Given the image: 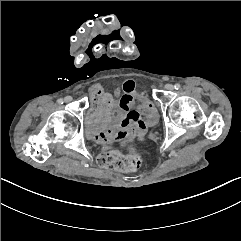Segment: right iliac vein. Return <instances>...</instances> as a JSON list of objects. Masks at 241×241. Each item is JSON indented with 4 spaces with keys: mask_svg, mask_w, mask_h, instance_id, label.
Listing matches in <instances>:
<instances>
[{
    "mask_svg": "<svg viewBox=\"0 0 241 241\" xmlns=\"http://www.w3.org/2000/svg\"><path fill=\"white\" fill-rule=\"evenodd\" d=\"M72 101V97L71 96H66L64 99V102L69 103Z\"/></svg>",
    "mask_w": 241,
    "mask_h": 241,
    "instance_id": "1",
    "label": "right iliac vein"
}]
</instances>
